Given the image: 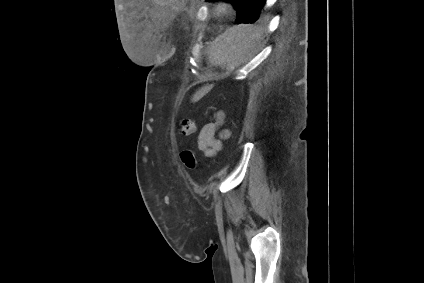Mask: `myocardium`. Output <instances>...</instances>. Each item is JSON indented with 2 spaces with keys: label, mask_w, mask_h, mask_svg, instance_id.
I'll use <instances>...</instances> for the list:
<instances>
[{
  "label": "myocardium",
  "mask_w": 424,
  "mask_h": 283,
  "mask_svg": "<svg viewBox=\"0 0 424 283\" xmlns=\"http://www.w3.org/2000/svg\"><path fill=\"white\" fill-rule=\"evenodd\" d=\"M229 9L230 5L224 1H220V3L216 5V11L221 15L227 14Z\"/></svg>",
  "instance_id": "f54148a6"
}]
</instances>
